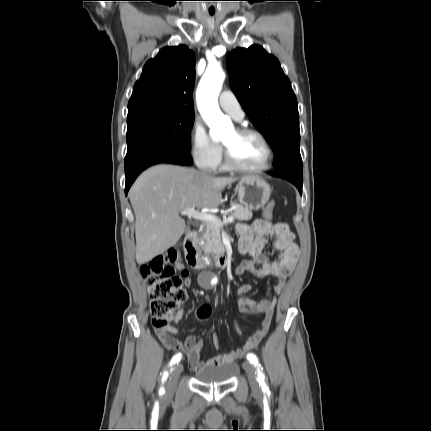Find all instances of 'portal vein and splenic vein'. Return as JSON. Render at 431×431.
Returning <instances> with one entry per match:
<instances>
[{
    "mask_svg": "<svg viewBox=\"0 0 431 431\" xmlns=\"http://www.w3.org/2000/svg\"><path fill=\"white\" fill-rule=\"evenodd\" d=\"M181 215H187L188 217L194 218L196 220L209 221L218 225L219 227L223 226L224 224L233 222L235 218L234 216H229L228 218H225L223 221H221L215 215L201 213L194 208H187L183 210L181 212Z\"/></svg>",
    "mask_w": 431,
    "mask_h": 431,
    "instance_id": "portal-vein-and-splenic-vein-1",
    "label": "portal vein and splenic vein"
}]
</instances>
